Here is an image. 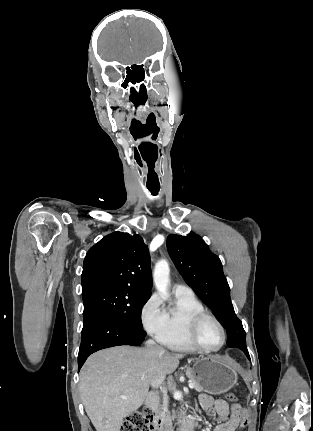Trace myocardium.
I'll return each mask as SVG.
<instances>
[{"label":"myocardium","mask_w":313,"mask_h":431,"mask_svg":"<svg viewBox=\"0 0 313 431\" xmlns=\"http://www.w3.org/2000/svg\"><path fill=\"white\" fill-rule=\"evenodd\" d=\"M210 319L212 320L220 329L221 332V336H222V340L221 343L215 347V348H209V347H205L203 346L198 338H197V333L198 330L201 326V324L203 323V321ZM187 337L189 342L198 350L201 351H205V352H216L219 351L220 349H222L226 343V331L224 326L222 325V323L220 322V320L214 316L213 314L207 312V311H203L200 312L198 314H196L190 321L189 326H188V330H187Z\"/></svg>","instance_id":"1"}]
</instances>
